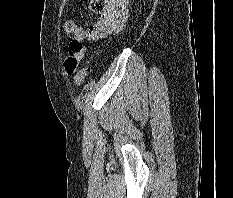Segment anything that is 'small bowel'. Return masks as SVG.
I'll use <instances>...</instances> for the list:
<instances>
[{"mask_svg": "<svg viewBox=\"0 0 233 198\" xmlns=\"http://www.w3.org/2000/svg\"><path fill=\"white\" fill-rule=\"evenodd\" d=\"M128 16L127 0H106L105 8L100 13L98 20L88 28L86 38L98 40L119 33L125 28ZM70 49L78 61L84 58L85 48L83 46L74 50L71 43Z\"/></svg>", "mask_w": 233, "mask_h": 198, "instance_id": "obj_1", "label": "small bowel"}]
</instances>
